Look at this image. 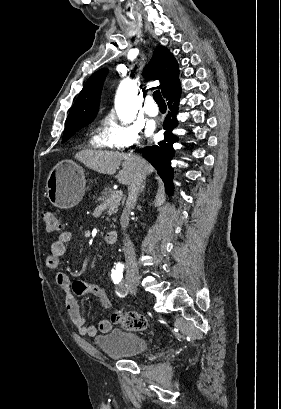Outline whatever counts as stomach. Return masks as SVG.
I'll use <instances>...</instances> for the list:
<instances>
[{
  "instance_id": "1",
  "label": "stomach",
  "mask_w": 281,
  "mask_h": 409,
  "mask_svg": "<svg viewBox=\"0 0 281 409\" xmlns=\"http://www.w3.org/2000/svg\"><path fill=\"white\" fill-rule=\"evenodd\" d=\"M86 182L82 166L74 160H61L48 174L47 196L54 207L71 209L82 200Z\"/></svg>"
}]
</instances>
